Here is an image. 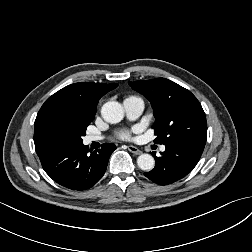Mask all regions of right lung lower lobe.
<instances>
[{"instance_id":"98d812e1","label":"right lung lower lobe","mask_w":252,"mask_h":252,"mask_svg":"<svg viewBox=\"0 0 252 252\" xmlns=\"http://www.w3.org/2000/svg\"><path fill=\"white\" fill-rule=\"evenodd\" d=\"M44 171L58 184L71 190H86L104 175L108 160L116 146L104 143L89 153L80 143L35 146Z\"/></svg>"}]
</instances>
